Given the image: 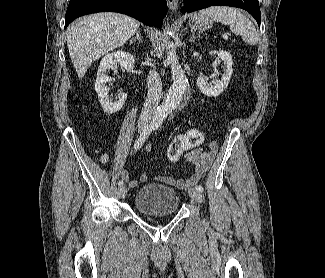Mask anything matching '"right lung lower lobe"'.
<instances>
[{
    "label": "right lung lower lobe",
    "instance_id": "obj_1",
    "mask_svg": "<svg viewBox=\"0 0 325 278\" xmlns=\"http://www.w3.org/2000/svg\"><path fill=\"white\" fill-rule=\"evenodd\" d=\"M103 11L127 14L146 25L161 27L167 3L166 0H70L65 28L80 16Z\"/></svg>",
    "mask_w": 325,
    "mask_h": 278
}]
</instances>
